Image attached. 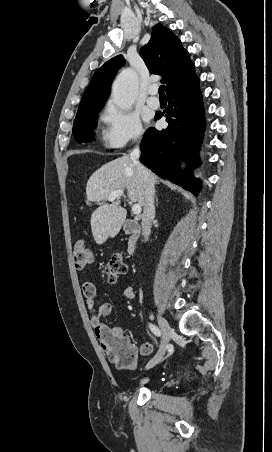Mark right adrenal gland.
Returning <instances> with one entry per match:
<instances>
[{
	"label": "right adrenal gland",
	"mask_w": 272,
	"mask_h": 452,
	"mask_svg": "<svg viewBox=\"0 0 272 452\" xmlns=\"http://www.w3.org/2000/svg\"><path fill=\"white\" fill-rule=\"evenodd\" d=\"M156 205L158 206V198L156 197Z\"/></svg>",
	"instance_id": "1"
}]
</instances>
